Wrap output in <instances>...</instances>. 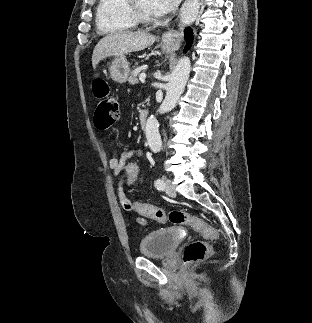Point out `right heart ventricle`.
<instances>
[{"label":"right heart ventricle","instance_id":"obj_1","mask_svg":"<svg viewBox=\"0 0 312 323\" xmlns=\"http://www.w3.org/2000/svg\"><path fill=\"white\" fill-rule=\"evenodd\" d=\"M94 25L99 33H117V29H133L136 18H130L131 9L126 1L101 0L95 5Z\"/></svg>","mask_w":312,"mask_h":323}]
</instances>
